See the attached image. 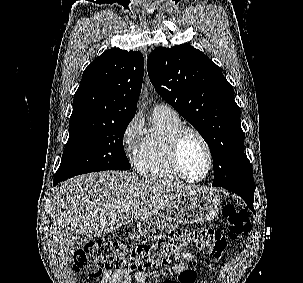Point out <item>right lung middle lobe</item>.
<instances>
[{
    "instance_id": "dd1d6c3e",
    "label": "right lung middle lobe",
    "mask_w": 303,
    "mask_h": 283,
    "mask_svg": "<svg viewBox=\"0 0 303 283\" xmlns=\"http://www.w3.org/2000/svg\"><path fill=\"white\" fill-rule=\"evenodd\" d=\"M130 121L70 120L69 139L55 176L66 180L84 173L130 169L123 147Z\"/></svg>"
}]
</instances>
